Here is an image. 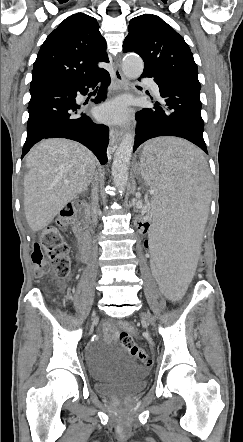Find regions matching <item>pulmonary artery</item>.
<instances>
[{"label":"pulmonary artery","instance_id":"pulmonary-artery-1","mask_svg":"<svg viewBox=\"0 0 243 442\" xmlns=\"http://www.w3.org/2000/svg\"><path fill=\"white\" fill-rule=\"evenodd\" d=\"M145 83L149 86L151 92L155 96H159V94H160L159 87H158V85L155 82H153V81H145Z\"/></svg>","mask_w":243,"mask_h":442}]
</instances>
